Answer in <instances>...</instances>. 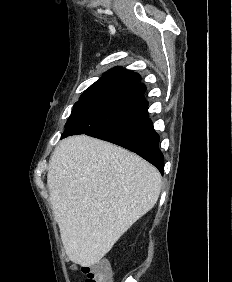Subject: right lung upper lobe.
Returning a JSON list of instances; mask_svg holds the SVG:
<instances>
[{
  "instance_id": "right-lung-upper-lobe-1",
  "label": "right lung upper lobe",
  "mask_w": 232,
  "mask_h": 282,
  "mask_svg": "<svg viewBox=\"0 0 232 282\" xmlns=\"http://www.w3.org/2000/svg\"><path fill=\"white\" fill-rule=\"evenodd\" d=\"M141 77L135 72L115 67L93 83L83 94L105 92L111 90L136 91L144 93L146 87L140 83Z\"/></svg>"
}]
</instances>
